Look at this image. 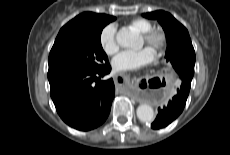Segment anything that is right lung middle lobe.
I'll return each mask as SVG.
<instances>
[{"instance_id": "obj_1", "label": "right lung middle lobe", "mask_w": 230, "mask_h": 155, "mask_svg": "<svg viewBox=\"0 0 230 155\" xmlns=\"http://www.w3.org/2000/svg\"><path fill=\"white\" fill-rule=\"evenodd\" d=\"M111 20L101 21L86 32L58 34L49 54L48 73L64 70H97L108 63L100 41L102 29Z\"/></svg>"}]
</instances>
